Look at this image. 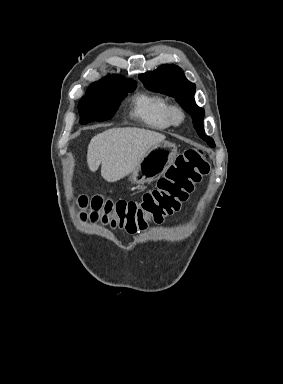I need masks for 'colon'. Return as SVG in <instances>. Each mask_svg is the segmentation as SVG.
I'll list each match as a JSON object with an SVG mask.
<instances>
[{
	"mask_svg": "<svg viewBox=\"0 0 283 384\" xmlns=\"http://www.w3.org/2000/svg\"><path fill=\"white\" fill-rule=\"evenodd\" d=\"M210 170L209 161L199 148H190L180 154L175 163L140 200H109L95 196H81L79 205L90 207L92 221L101 220L112 227L126 229L130 233L143 230L151 222L160 223L176 212L194 185ZM84 218L87 217L83 213Z\"/></svg>",
	"mask_w": 283,
	"mask_h": 384,
	"instance_id": "1",
	"label": "colon"
}]
</instances>
